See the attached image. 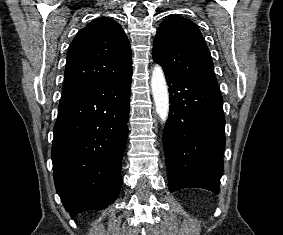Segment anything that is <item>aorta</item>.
I'll use <instances>...</instances> for the list:
<instances>
[{"mask_svg":"<svg viewBox=\"0 0 283 235\" xmlns=\"http://www.w3.org/2000/svg\"><path fill=\"white\" fill-rule=\"evenodd\" d=\"M151 90L156 114L162 122H166L169 114V94L164 72L159 65H155L152 70Z\"/></svg>","mask_w":283,"mask_h":235,"instance_id":"762f6f07","label":"aorta"}]
</instances>
